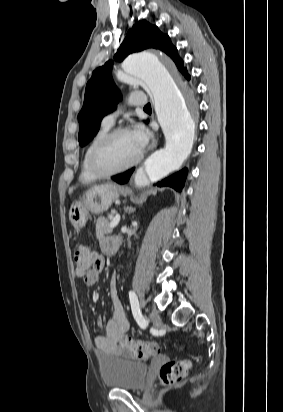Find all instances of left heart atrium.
<instances>
[{"label": "left heart atrium", "instance_id": "39dd6f15", "mask_svg": "<svg viewBox=\"0 0 283 412\" xmlns=\"http://www.w3.org/2000/svg\"><path fill=\"white\" fill-rule=\"evenodd\" d=\"M131 134L136 141L138 147L142 150L149 140V133L148 131L142 126H136L132 131Z\"/></svg>", "mask_w": 283, "mask_h": 412}]
</instances>
